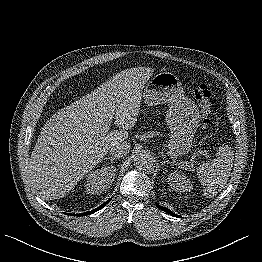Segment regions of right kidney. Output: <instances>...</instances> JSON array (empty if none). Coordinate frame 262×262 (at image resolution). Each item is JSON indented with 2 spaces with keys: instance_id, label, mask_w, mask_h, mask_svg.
I'll return each instance as SVG.
<instances>
[{
  "instance_id": "right-kidney-1",
  "label": "right kidney",
  "mask_w": 262,
  "mask_h": 262,
  "mask_svg": "<svg viewBox=\"0 0 262 262\" xmlns=\"http://www.w3.org/2000/svg\"><path fill=\"white\" fill-rule=\"evenodd\" d=\"M115 169L103 167L87 175L85 189L88 194H100L107 191L114 181Z\"/></svg>"
}]
</instances>
